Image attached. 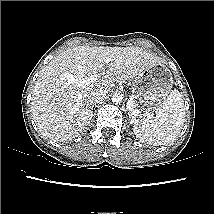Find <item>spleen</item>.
I'll return each mask as SVG.
<instances>
[{
    "label": "spleen",
    "instance_id": "spleen-1",
    "mask_svg": "<svg viewBox=\"0 0 214 214\" xmlns=\"http://www.w3.org/2000/svg\"><path fill=\"white\" fill-rule=\"evenodd\" d=\"M155 114L137 119L133 126L134 134L143 143L155 146L168 144L179 135L185 121V108L180 92L172 90Z\"/></svg>",
    "mask_w": 214,
    "mask_h": 214
}]
</instances>
